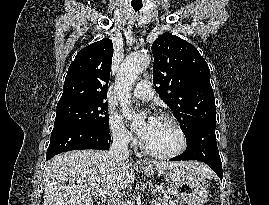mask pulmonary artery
Listing matches in <instances>:
<instances>
[{
	"mask_svg": "<svg viewBox=\"0 0 269 205\" xmlns=\"http://www.w3.org/2000/svg\"><path fill=\"white\" fill-rule=\"evenodd\" d=\"M134 97L141 100H149L153 97L154 91L148 80H141L133 90Z\"/></svg>",
	"mask_w": 269,
	"mask_h": 205,
	"instance_id": "pulmonary-artery-1",
	"label": "pulmonary artery"
}]
</instances>
